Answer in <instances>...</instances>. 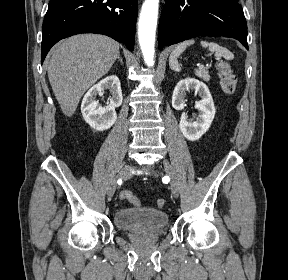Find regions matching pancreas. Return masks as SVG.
Masks as SVG:
<instances>
[{"label":"pancreas","mask_w":288,"mask_h":280,"mask_svg":"<svg viewBox=\"0 0 288 280\" xmlns=\"http://www.w3.org/2000/svg\"><path fill=\"white\" fill-rule=\"evenodd\" d=\"M196 76L203 79L204 81H209V72L206 69H198L195 71Z\"/></svg>","instance_id":"cf45deb5"}]
</instances>
